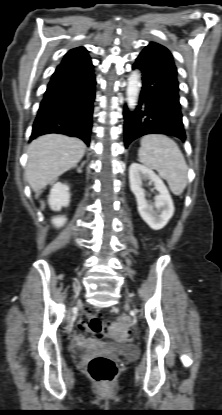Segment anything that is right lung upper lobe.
I'll use <instances>...</instances> for the list:
<instances>
[{
	"mask_svg": "<svg viewBox=\"0 0 222 415\" xmlns=\"http://www.w3.org/2000/svg\"><path fill=\"white\" fill-rule=\"evenodd\" d=\"M82 51H87L84 47H78V48H74L72 50H70L68 53L71 52H82Z\"/></svg>",
	"mask_w": 222,
	"mask_h": 415,
	"instance_id": "right-lung-upper-lobe-1",
	"label": "right lung upper lobe"
}]
</instances>
